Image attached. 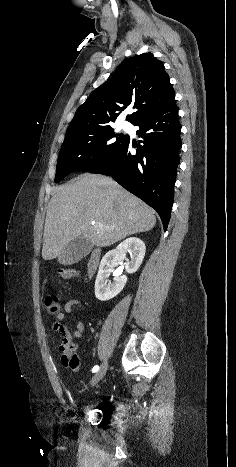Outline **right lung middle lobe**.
<instances>
[{"instance_id": "obj_1", "label": "right lung middle lobe", "mask_w": 236, "mask_h": 467, "mask_svg": "<svg viewBox=\"0 0 236 467\" xmlns=\"http://www.w3.org/2000/svg\"><path fill=\"white\" fill-rule=\"evenodd\" d=\"M128 135L116 134L109 126L66 135L62 144L55 182L76 171H90L113 157L126 143Z\"/></svg>"}]
</instances>
